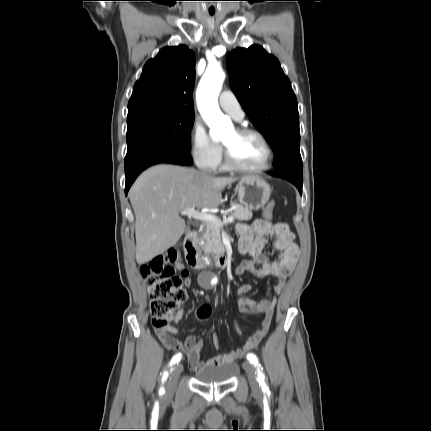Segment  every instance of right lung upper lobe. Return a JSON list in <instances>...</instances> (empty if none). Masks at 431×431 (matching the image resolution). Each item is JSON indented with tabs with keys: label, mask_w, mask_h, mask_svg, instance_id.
I'll use <instances>...</instances> for the list:
<instances>
[{
	"label": "right lung upper lobe",
	"mask_w": 431,
	"mask_h": 431,
	"mask_svg": "<svg viewBox=\"0 0 431 431\" xmlns=\"http://www.w3.org/2000/svg\"><path fill=\"white\" fill-rule=\"evenodd\" d=\"M195 61L185 45L161 49L134 85L127 118L153 112L194 114Z\"/></svg>",
	"instance_id": "1"
}]
</instances>
